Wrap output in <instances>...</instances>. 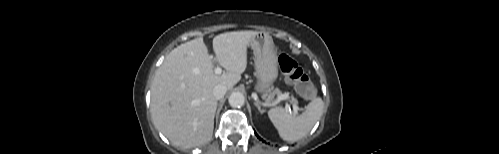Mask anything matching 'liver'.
I'll return each mask as SVG.
<instances>
[{
    "label": "liver",
    "mask_w": 499,
    "mask_h": 154,
    "mask_svg": "<svg viewBox=\"0 0 499 154\" xmlns=\"http://www.w3.org/2000/svg\"><path fill=\"white\" fill-rule=\"evenodd\" d=\"M257 31H233L213 39L215 57L202 37L174 48L156 71L150 110L154 125L175 146L196 147L212 139L217 101L213 88L232 89L247 66V47ZM219 63L226 72L215 74Z\"/></svg>",
    "instance_id": "obj_1"
}]
</instances>
